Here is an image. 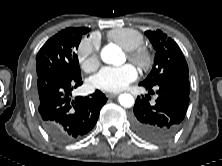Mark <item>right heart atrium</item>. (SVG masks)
Instances as JSON below:
<instances>
[{"instance_id": "right-heart-atrium-1", "label": "right heart atrium", "mask_w": 222, "mask_h": 166, "mask_svg": "<svg viewBox=\"0 0 222 166\" xmlns=\"http://www.w3.org/2000/svg\"><path fill=\"white\" fill-rule=\"evenodd\" d=\"M100 44L95 36H90L81 41L77 49V60L87 72L95 70L100 63Z\"/></svg>"}]
</instances>
